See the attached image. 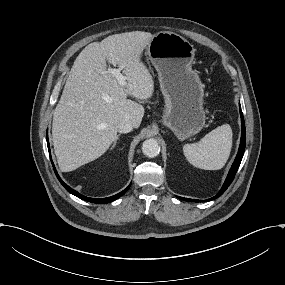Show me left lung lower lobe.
I'll use <instances>...</instances> for the list:
<instances>
[{
  "label": "left lung lower lobe",
  "instance_id": "1",
  "mask_svg": "<svg viewBox=\"0 0 285 285\" xmlns=\"http://www.w3.org/2000/svg\"><path fill=\"white\" fill-rule=\"evenodd\" d=\"M240 107V106H239ZM241 109V107H240ZM240 116H241V123H242V133H241V142H240V147L237 153V156L235 158L234 163L232 164V167L228 173V176L222 186V188L220 189V191L212 198L207 199V200H195V199H188V198H183V197H179L177 196V198L181 199V200H185V201H190V202H206V201H211L213 199H216L217 197L221 196L226 189L229 187V185L231 184V182L233 181L236 172L239 168V165L241 163L243 154H244V150H245V144H246V132H245V123H244V117H243V113L240 110Z\"/></svg>",
  "mask_w": 285,
  "mask_h": 285
}]
</instances>
